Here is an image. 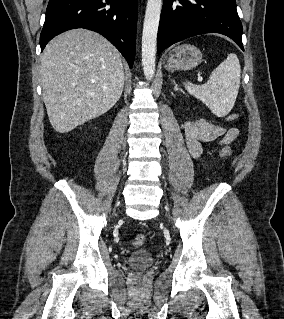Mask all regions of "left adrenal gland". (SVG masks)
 I'll list each match as a JSON object with an SVG mask.
<instances>
[{"mask_svg": "<svg viewBox=\"0 0 284 319\" xmlns=\"http://www.w3.org/2000/svg\"><path fill=\"white\" fill-rule=\"evenodd\" d=\"M173 83H174V90L176 91V90H178L179 88H178V85L176 84V82L175 81H173Z\"/></svg>", "mask_w": 284, "mask_h": 319, "instance_id": "left-adrenal-gland-1", "label": "left adrenal gland"}]
</instances>
